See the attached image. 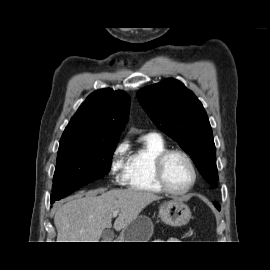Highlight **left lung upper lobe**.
<instances>
[{
    "instance_id": "obj_1",
    "label": "left lung upper lobe",
    "mask_w": 270,
    "mask_h": 270,
    "mask_svg": "<svg viewBox=\"0 0 270 270\" xmlns=\"http://www.w3.org/2000/svg\"><path fill=\"white\" fill-rule=\"evenodd\" d=\"M155 125L177 141L193 159L203 178L217 185L216 148L202 103L180 81L166 79L137 92Z\"/></svg>"
}]
</instances>
